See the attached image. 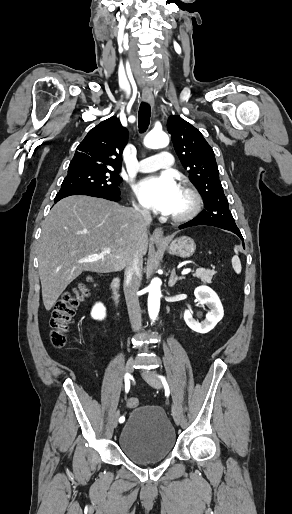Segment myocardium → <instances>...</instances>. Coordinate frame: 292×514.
I'll return each instance as SVG.
<instances>
[{
	"label": "myocardium",
	"mask_w": 292,
	"mask_h": 514,
	"mask_svg": "<svg viewBox=\"0 0 292 514\" xmlns=\"http://www.w3.org/2000/svg\"><path fill=\"white\" fill-rule=\"evenodd\" d=\"M181 192L187 197L188 199V207L185 211L181 213H171V217L175 221H185L197 214V212L200 209L201 205V197L199 193L190 187L188 184H184L181 187Z\"/></svg>",
	"instance_id": "myocardium-1"
}]
</instances>
